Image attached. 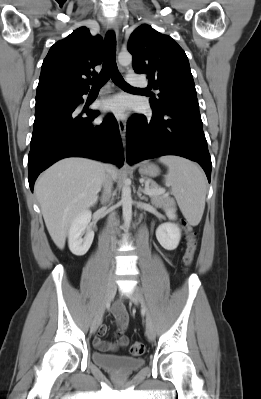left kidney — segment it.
<instances>
[{
	"instance_id": "1",
	"label": "left kidney",
	"mask_w": 261,
	"mask_h": 399,
	"mask_svg": "<svg viewBox=\"0 0 261 399\" xmlns=\"http://www.w3.org/2000/svg\"><path fill=\"white\" fill-rule=\"evenodd\" d=\"M166 216L169 220H175L176 214L173 210H167ZM156 238L160 245L166 250H174L179 245L181 239L180 228L172 222L161 224L156 229Z\"/></svg>"
}]
</instances>
